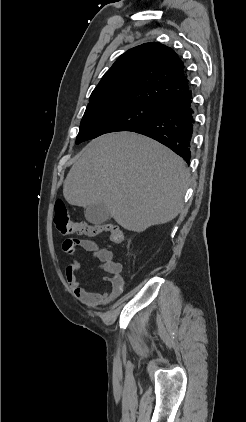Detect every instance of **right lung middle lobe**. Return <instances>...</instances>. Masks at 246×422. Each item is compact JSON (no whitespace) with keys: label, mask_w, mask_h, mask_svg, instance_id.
I'll return each instance as SVG.
<instances>
[{"label":"right lung middle lobe","mask_w":246,"mask_h":422,"mask_svg":"<svg viewBox=\"0 0 246 422\" xmlns=\"http://www.w3.org/2000/svg\"><path fill=\"white\" fill-rule=\"evenodd\" d=\"M157 114V105L138 102H115L87 107L80 124L76 144L105 133L128 131Z\"/></svg>","instance_id":"dd1d6c3e"}]
</instances>
